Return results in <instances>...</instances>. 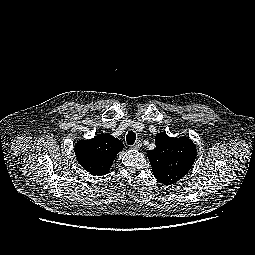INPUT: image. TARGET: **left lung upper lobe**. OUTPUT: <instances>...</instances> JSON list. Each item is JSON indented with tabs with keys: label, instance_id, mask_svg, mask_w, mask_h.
<instances>
[{
	"label": "left lung upper lobe",
	"instance_id": "obj_1",
	"mask_svg": "<svg viewBox=\"0 0 255 255\" xmlns=\"http://www.w3.org/2000/svg\"><path fill=\"white\" fill-rule=\"evenodd\" d=\"M155 144L147 152L155 178L165 185L176 183L194 164L196 146L189 137L172 138L166 132L155 136Z\"/></svg>",
	"mask_w": 255,
	"mask_h": 255
}]
</instances>
